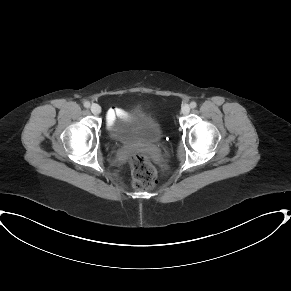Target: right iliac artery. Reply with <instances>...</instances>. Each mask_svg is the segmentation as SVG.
Masks as SVG:
<instances>
[{
	"label": "right iliac artery",
	"mask_w": 291,
	"mask_h": 291,
	"mask_svg": "<svg viewBox=\"0 0 291 291\" xmlns=\"http://www.w3.org/2000/svg\"><path fill=\"white\" fill-rule=\"evenodd\" d=\"M84 107L89 108L90 107V102L89 101H85L84 102Z\"/></svg>",
	"instance_id": "1"
}]
</instances>
